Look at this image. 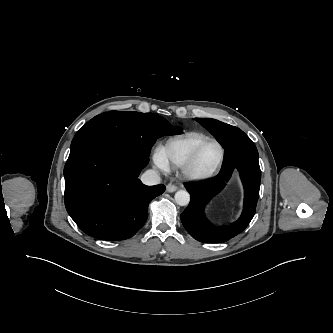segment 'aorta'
I'll return each mask as SVG.
<instances>
[{
  "label": "aorta",
  "instance_id": "1",
  "mask_svg": "<svg viewBox=\"0 0 333 333\" xmlns=\"http://www.w3.org/2000/svg\"><path fill=\"white\" fill-rule=\"evenodd\" d=\"M175 201L180 206H186L189 204L190 201V195L186 190H178L175 193Z\"/></svg>",
  "mask_w": 333,
  "mask_h": 333
}]
</instances>
